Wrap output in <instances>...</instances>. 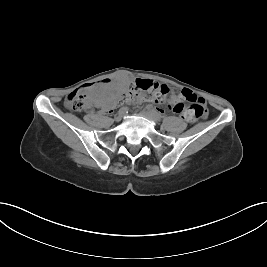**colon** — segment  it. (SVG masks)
Listing matches in <instances>:
<instances>
[{
  "label": "colon",
  "mask_w": 267,
  "mask_h": 267,
  "mask_svg": "<svg viewBox=\"0 0 267 267\" xmlns=\"http://www.w3.org/2000/svg\"><path fill=\"white\" fill-rule=\"evenodd\" d=\"M168 93L169 89L165 85H160L148 79H136L119 97L115 96L106 103V110H111L119 101L129 102L142 99L143 101L151 100L156 103H164ZM181 95L183 100L190 104V107L185 108L183 104H178L173 108L174 113L191 120L207 116L208 110L202 97L193 93L190 89H183ZM88 103L89 100L86 95L79 90L71 92L65 100L66 107L73 111L86 109Z\"/></svg>",
  "instance_id": "obj_1"
}]
</instances>
